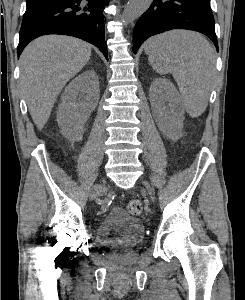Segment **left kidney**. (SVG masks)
Returning a JSON list of instances; mask_svg holds the SVG:
<instances>
[{"label":"left kidney","instance_id":"obj_1","mask_svg":"<svg viewBox=\"0 0 245 300\" xmlns=\"http://www.w3.org/2000/svg\"><path fill=\"white\" fill-rule=\"evenodd\" d=\"M153 116L168 137H178L184 120V107L174 85L165 78L155 79L149 90Z\"/></svg>","mask_w":245,"mask_h":300}]
</instances>
